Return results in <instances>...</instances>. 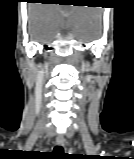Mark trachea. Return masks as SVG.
I'll list each match as a JSON object with an SVG mask.
<instances>
[{"label": "trachea", "instance_id": "3493384b", "mask_svg": "<svg viewBox=\"0 0 134 159\" xmlns=\"http://www.w3.org/2000/svg\"><path fill=\"white\" fill-rule=\"evenodd\" d=\"M54 153L58 154V155H61L63 153V148L62 146H56L54 148Z\"/></svg>", "mask_w": 134, "mask_h": 159}]
</instances>
